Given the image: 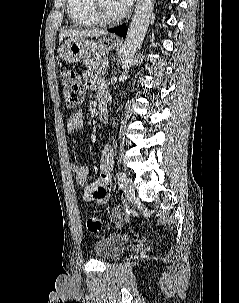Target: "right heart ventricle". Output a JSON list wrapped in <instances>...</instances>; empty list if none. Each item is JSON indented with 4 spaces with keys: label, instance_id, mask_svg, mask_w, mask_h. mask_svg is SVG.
<instances>
[{
    "label": "right heart ventricle",
    "instance_id": "obj_1",
    "mask_svg": "<svg viewBox=\"0 0 239 303\" xmlns=\"http://www.w3.org/2000/svg\"><path fill=\"white\" fill-rule=\"evenodd\" d=\"M67 14L69 20L77 27H92L99 21L91 13L89 0H67Z\"/></svg>",
    "mask_w": 239,
    "mask_h": 303
}]
</instances>
